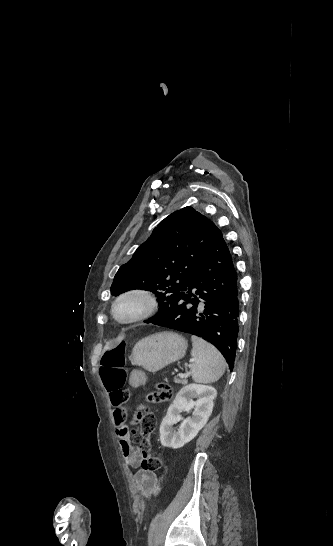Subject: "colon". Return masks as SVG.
<instances>
[{
    "mask_svg": "<svg viewBox=\"0 0 333 546\" xmlns=\"http://www.w3.org/2000/svg\"><path fill=\"white\" fill-rule=\"evenodd\" d=\"M100 377L108 392L121 390L126 379L125 369V342L123 340L112 341L104 351L100 361ZM172 397V390L165 383H158L156 390L148 395V401L160 402L169 400ZM126 399V395L122 401ZM134 425L136 429L132 432V440L140 444L144 453L142 468L146 471L156 472L164 467L163 458L150 449V436L156 426V418L151 409L140 404L134 414ZM159 491V485L155 486L154 492Z\"/></svg>",
    "mask_w": 333,
    "mask_h": 546,
    "instance_id": "5ec220e1",
    "label": "colon"
}]
</instances>
